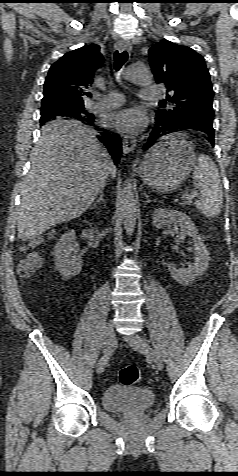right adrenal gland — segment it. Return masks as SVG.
<instances>
[{
    "label": "right adrenal gland",
    "instance_id": "1",
    "mask_svg": "<svg viewBox=\"0 0 238 476\" xmlns=\"http://www.w3.org/2000/svg\"><path fill=\"white\" fill-rule=\"evenodd\" d=\"M103 194H104V189H102L100 191V195H99V198L95 201L94 203V207L96 208L97 207V204L100 203V202H105L104 198H103Z\"/></svg>",
    "mask_w": 238,
    "mask_h": 476
}]
</instances>
